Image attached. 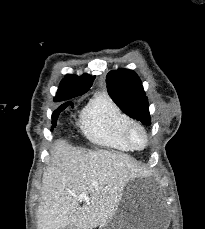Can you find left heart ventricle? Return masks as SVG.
<instances>
[{
	"mask_svg": "<svg viewBox=\"0 0 205 229\" xmlns=\"http://www.w3.org/2000/svg\"><path fill=\"white\" fill-rule=\"evenodd\" d=\"M133 139L137 145H141L143 143V137L139 132L134 133Z\"/></svg>",
	"mask_w": 205,
	"mask_h": 229,
	"instance_id": "obj_1",
	"label": "left heart ventricle"
}]
</instances>
